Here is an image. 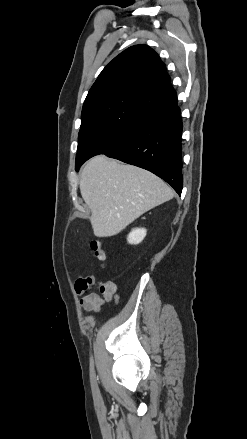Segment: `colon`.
Here are the masks:
<instances>
[{
	"label": "colon",
	"mask_w": 247,
	"mask_h": 439,
	"mask_svg": "<svg viewBox=\"0 0 247 439\" xmlns=\"http://www.w3.org/2000/svg\"><path fill=\"white\" fill-rule=\"evenodd\" d=\"M91 249L94 252V254L98 260H100L101 262H103L105 260V258H106L105 252H104V250L102 248V244L99 240H93L91 242Z\"/></svg>",
	"instance_id": "obj_1"
}]
</instances>
